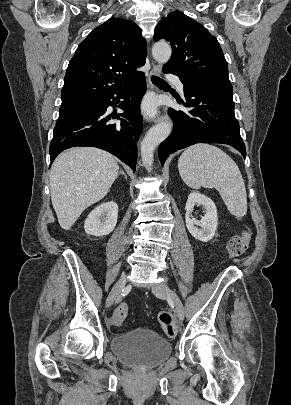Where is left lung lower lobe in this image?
<instances>
[{"mask_svg":"<svg viewBox=\"0 0 291 405\" xmlns=\"http://www.w3.org/2000/svg\"><path fill=\"white\" fill-rule=\"evenodd\" d=\"M163 72L175 74L170 69H163ZM180 80L184 84V105L188 110L177 111L169 108L168 113L174 121V129L159 146L161 164H164L170 154L196 143L228 144L245 158L246 148L234 114L231 83L183 78Z\"/></svg>","mask_w":291,"mask_h":405,"instance_id":"0a47b994","label":"left lung lower lobe"}]
</instances>
